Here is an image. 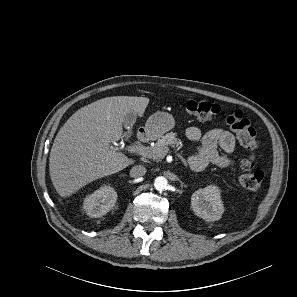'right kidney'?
<instances>
[{"label":"right kidney","mask_w":297,"mask_h":297,"mask_svg":"<svg viewBox=\"0 0 297 297\" xmlns=\"http://www.w3.org/2000/svg\"><path fill=\"white\" fill-rule=\"evenodd\" d=\"M117 193L110 186L104 185L89 195L84 201V208L88 216L101 217L115 205Z\"/></svg>","instance_id":"obj_1"}]
</instances>
